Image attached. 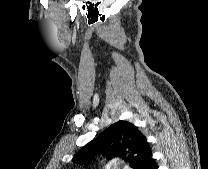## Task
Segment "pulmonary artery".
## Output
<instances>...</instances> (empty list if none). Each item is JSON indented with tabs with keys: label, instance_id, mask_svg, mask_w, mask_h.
I'll use <instances>...</instances> for the list:
<instances>
[{
	"label": "pulmonary artery",
	"instance_id": "e3ab8cb5",
	"mask_svg": "<svg viewBox=\"0 0 208 169\" xmlns=\"http://www.w3.org/2000/svg\"><path fill=\"white\" fill-rule=\"evenodd\" d=\"M124 169H130V167H125Z\"/></svg>",
	"mask_w": 208,
	"mask_h": 169
}]
</instances>
